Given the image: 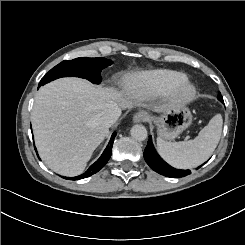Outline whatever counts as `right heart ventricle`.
I'll return each mask as SVG.
<instances>
[{
    "label": "right heart ventricle",
    "mask_w": 245,
    "mask_h": 245,
    "mask_svg": "<svg viewBox=\"0 0 245 245\" xmlns=\"http://www.w3.org/2000/svg\"><path fill=\"white\" fill-rule=\"evenodd\" d=\"M141 77L144 84L154 92L164 91L187 81V76L185 74L168 70L143 73Z\"/></svg>",
    "instance_id": "obj_1"
}]
</instances>
